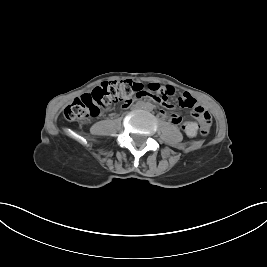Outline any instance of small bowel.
<instances>
[{"instance_id":"1","label":"small bowel","mask_w":267,"mask_h":267,"mask_svg":"<svg viewBox=\"0 0 267 267\" xmlns=\"http://www.w3.org/2000/svg\"><path fill=\"white\" fill-rule=\"evenodd\" d=\"M184 128L186 129V131H188L189 133H194L196 131V127L191 124V123H185L184 124Z\"/></svg>"}]
</instances>
